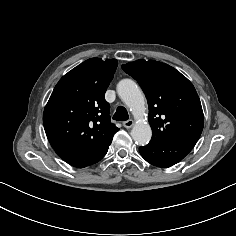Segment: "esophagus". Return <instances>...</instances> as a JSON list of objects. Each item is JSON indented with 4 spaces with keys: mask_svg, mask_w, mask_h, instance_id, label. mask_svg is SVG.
Listing matches in <instances>:
<instances>
[{
    "mask_svg": "<svg viewBox=\"0 0 236 236\" xmlns=\"http://www.w3.org/2000/svg\"><path fill=\"white\" fill-rule=\"evenodd\" d=\"M134 125V121L133 120H127L123 123V126L127 129L131 128Z\"/></svg>",
    "mask_w": 236,
    "mask_h": 236,
    "instance_id": "esophagus-1",
    "label": "esophagus"
}]
</instances>
